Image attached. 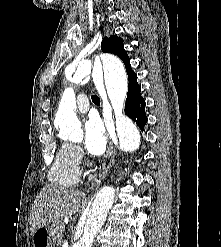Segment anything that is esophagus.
I'll list each match as a JSON object with an SVG mask.
<instances>
[{"mask_svg": "<svg viewBox=\"0 0 221 247\" xmlns=\"http://www.w3.org/2000/svg\"><path fill=\"white\" fill-rule=\"evenodd\" d=\"M106 117H107V111H106V103L104 101V120H106ZM109 152L111 154V158H110V161H109L108 165L94 179V181L90 185V189H93L94 187L98 186L102 182V180L106 177V175L108 174V171L113 166V164L115 162V150L113 149V147H111V149L109 150Z\"/></svg>", "mask_w": 221, "mask_h": 247, "instance_id": "obj_1", "label": "esophagus"}]
</instances>
